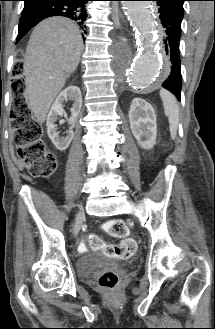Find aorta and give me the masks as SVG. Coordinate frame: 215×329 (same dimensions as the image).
<instances>
[{
	"label": "aorta",
	"mask_w": 215,
	"mask_h": 329,
	"mask_svg": "<svg viewBox=\"0 0 215 329\" xmlns=\"http://www.w3.org/2000/svg\"><path fill=\"white\" fill-rule=\"evenodd\" d=\"M123 9L138 37L140 48L126 68L131 88L143 91L163 77L162 56L159 52L156 24L148 2L124 1Z\"/></svg>",
	"instance_id": "1"
}]
</instances>
